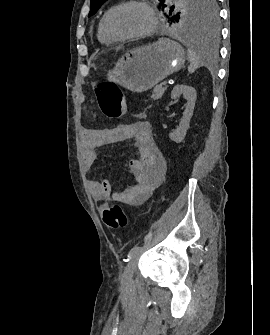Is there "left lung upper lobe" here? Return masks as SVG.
<instances>
[{"label":"left lung upper lobe","instance_id":"left-lung-upper-lobe-1","mask_svg":"<svg viewBox=\"0 0 270 335\" xmlns=\"http://www.w3.org/2000/svg\"><path fill=\"white\" fill-rule=\"evenodd\" d=\"M106 1L90 0L91 8L88 17L94 15ZM158 8L165 11L168 21L178 24L183 29L217 31L218 10L215 0H178L171 7L166 0H159Z\"/></svg>","mask_w":270,"mask_h":335}]
</instances>
